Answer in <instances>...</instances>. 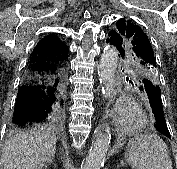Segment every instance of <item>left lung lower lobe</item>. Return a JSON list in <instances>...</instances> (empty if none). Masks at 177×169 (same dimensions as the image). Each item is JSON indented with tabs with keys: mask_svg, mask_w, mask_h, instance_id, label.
<instances>
[{
	"mask_svg": "<svg viewBox=\"0 0 177 169\" xmlns=\"http://www.w3.org/2000/svg\"><path fill=\"white\" fill-rule=\"evenodd\" d=\"M148 96L152 112L155 117L154 128L161 134L171 139V135L166 125L165 116L163 113L161 90L160 87L154 84L151 80L144 77L140 82L139 87Z\"/></svg>",
	"mask_w": 177,
	"mask_h": 169,
	"instance_id": "0a47b994",
	"label": "left lung lower lobe"
}]
</instances>
